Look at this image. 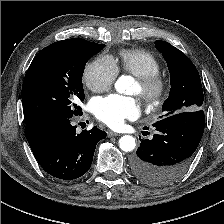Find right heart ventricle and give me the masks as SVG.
<instances>
[{"mask_svg":"<svg viewBox=\"0 0 224 224\" xmlns=\"http://www.w3.org/2000/svg\"><path fill=\"white\" fill-rule=\"evenodd\" d=\"M117 69L136 78L160 73L162 65L150 52L142 49H123L115 62Z\"/></svg>","mask_w":224,"mask_h":224,"instance_id":"e07e8e85","label":"right heart ventricle"}]
</instances>
